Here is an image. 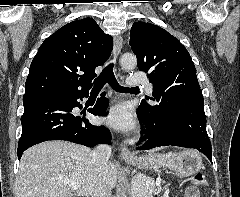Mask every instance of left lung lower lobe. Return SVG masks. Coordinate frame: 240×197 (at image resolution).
<instances>
[{
	"label": "left lung lower lobe",
	"instance_id": "left-lung-lower-lobe-1",
	"mask_svg": "<svg viewBox=\"0 0 240 197\" xmlns=\"http://www.w3.org/2000/svg\"><path fill=\"white\" fill-rule=\"evenodd\" d=\"M203 107V97L189 92L149 109L139 106L138 119L146 126L141 132V140L146 142L137 149L149 150L160 146L194 148L212 161Z\"/></svg>",
	"mask_w": 240,
	"mask_h": 197
}]
</instances>
